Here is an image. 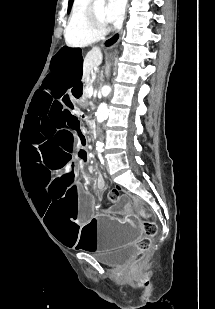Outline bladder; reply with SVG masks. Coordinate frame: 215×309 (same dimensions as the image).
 <instances>
[{"label":"bladder","instance_id":"bladder-1","mask_svg":"<svg viewBox=\"0 0 215 309\" xmlns=\"http://www.w3.org/2000/svg\"><path fill=\"white\" fill-rule=\"evenodd\" d=\"M136 254V249L134 246H125L118 251L108 254L97 255V260L108 267H122L129 263L134 255Z\"/></svg>","mask_w":215,"mask_h":309}]
</instances>
